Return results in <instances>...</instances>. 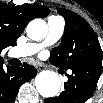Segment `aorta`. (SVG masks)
Returning <instances> with one entry per match:
<instances>
[{
    "instance_id": "1",
    "label": "aorta",
    "mask_w": 103,
    "mask_h": 103,
    "mask_svg": "<svg viewBox=\"0 0 103 103\" xmlns=\"http://www.w3.org/2000/svg\"><path fill=\"white\" fill-rule=\"evenodd\" d=\"M27 36L32 40H42L48 32V26L42 19H34L26 28ZM35 86L41 96L54 97L58 94L61 86L60 78L53 71H42L35 78Z\"/></svg>"
}]
</instances>
